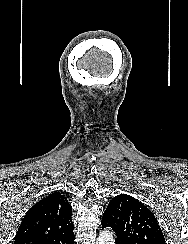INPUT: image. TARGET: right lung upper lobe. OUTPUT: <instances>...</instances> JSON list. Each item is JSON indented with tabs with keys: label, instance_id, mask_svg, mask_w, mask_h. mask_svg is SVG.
<instances>
[{
	"label": "right lung upper lobe",
	"instance_id": "obj_1",
	"mask_svg": "<svg viewBox=\"0 0 188 244\" xmlns=\"http://www.w3.org/2000/svg\"><path fill=\"white\" fill-rule=\"evenodd\" d=\"M71 213L62 194H50L26 213L14 244H65L74 236Z\"/></svg>",
	"mask_w": 188,
	"mask_h": 244
}]
</instances>
